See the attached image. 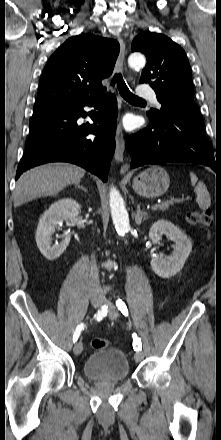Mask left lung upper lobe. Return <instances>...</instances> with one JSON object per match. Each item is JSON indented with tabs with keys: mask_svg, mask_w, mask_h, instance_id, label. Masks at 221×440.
<instances>
[{
	"mask_svg": "<svg viewBox=\"0 0 221 440\" xmlns=\"http://www.w3.org/2000/svg\"><path fill=\"white\" fill-rule=\"evenodd\" d=\"M131 50L145 54L147 64L140 83H149L162 104L151 109L149 118L161 119L166 113H181L202 120L193 100L192 72L184 50L165 35L144 31L137 35Z\"/></svg>",
	"mask_w": 221,
	"mask_h": 440,
	"instance_id": "left-lung-upper-lobe-1",
	"label": "left lung upper lobe"
}]
</instances>
